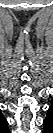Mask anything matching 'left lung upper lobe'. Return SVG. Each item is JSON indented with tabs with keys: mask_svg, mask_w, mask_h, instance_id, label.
Segmentation results:
<instances>
[{
	"mask_svg": "<svg viewBox=\"0 0 53 133\" xmlns=\"http://www.w3.org/2000/svg\"><path fill=\"white\" fill-rule=\"evenodd\" d=\"M52 116H53V109H52V107H50L49 109H48V114H47V117H46V119H45V121H44V125L45 126H48V125H50L51 123H52Z\"/></svg>",
	"mask_w": 53,
	"mask_h": 133,
	"instance_id": "left-lung-upper-lobe-1",
	"label": "left lung upper lobe"
}]
</instances>
